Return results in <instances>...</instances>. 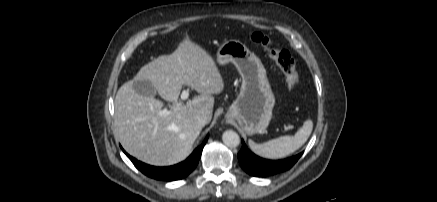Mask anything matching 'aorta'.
Returning <instances> with one entry per match:
<instances>
[{"label":"aorta","mask_w":437,"mask_h":202,"mask_svg":"<svg viewBox=\"0 0 437 202\" xmlns=\"http://www.w3.org/2000/svg\"><path fill=\"white\" fill-rule=\"evenodd\" d=\"M222 140L227 147L235 148L240 144L239 135L233 130H227L222 135Z\"/></svg>","instance_id":"aorta-1"}]
</instances>
